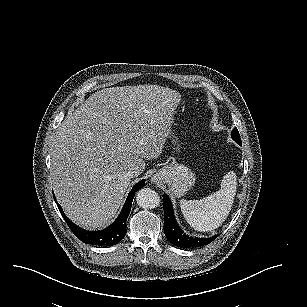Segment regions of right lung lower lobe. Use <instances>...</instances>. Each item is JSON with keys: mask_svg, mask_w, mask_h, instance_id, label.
<instances>
[{"mask_svg": "<svg viewBox=\"0 0 307 307\" xmlns=\"http://www.w3.org/2000/svg\"><path fill=\"white\" fill-rule=\"evenodd\" d=\"M144 185H145V180H141L132 188L118 218L114 221V223L111 226L101 231H86L78 227L64 215L61 206L57 202L56 203H57V206L59 208L61 215L67 222V225L69 226V228L72 230L74 235H76L85 244L106 246V247L113 246L119 243L125 236L127 232L126 219L131 210V204L133 201V197L135 195V192L138 189L144 187Z\"/></svg>", "mask_w": 307, "mask_h": 307, "instance_id": "obj_1", "label": "right lung lower lobe"}]
</instances>
